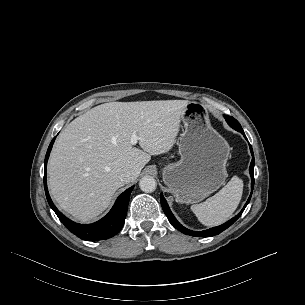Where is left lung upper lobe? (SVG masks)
<instances>
[{
  "label": "left lung upper lobe",
  "mask_w": 305,
  "mask_h": 305,
  "mask_svg": "<svg viewBox=\"0 0 305 305\" xmlns=\"http://www.w3.org/2000/svg\"><path fill=\"white\" fill-rule=\"evenodd\" d=\"M225 119L232 128H234L235 130H237L239 132L243 131L241 125L239 124V122L236 119H234L233 117L228 116V115H225Z\"/></svg>",
  "instance_id": "1"
}]
</instances>
